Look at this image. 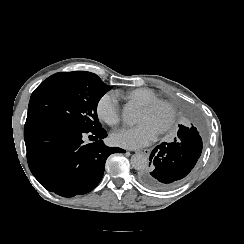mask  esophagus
Listing matches in <instances>:
<instances>
[{"mask_svg": "<svg viewBox=\"0 0 244 244\" xmlns=\"http://www.w3.org/2000/svg\"><path fill=\"white\" fill-rule=\"evenodd\" d=\"M151 150L149 148L147 149H140V150H136L135 153H140V154H144L145 156H149Z\"/></svg>", "mask_w": 244, "mask_h": 244, "instance_id": "1", "label": "esophagus"}]
</instances>
